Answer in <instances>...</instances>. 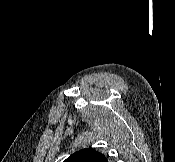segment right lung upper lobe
I'll list each match as a JSON object with an SVG mask.
<instances>
[{"mask_svg": "<svg viewBox=\"0 0 175 162\" xmlns=\"http://www.w3.org/2000/svg\"><path fill=\"white\" fill-rule=\"evenodd\" d=\"M64 162H107L105 156L94 149H81L73 153Z\"/></svg>", "mask_w": 175, "mask_h": 162, "instance_id": "cb5924a9", "label": "right lung upper lobe"}]
</instances>
